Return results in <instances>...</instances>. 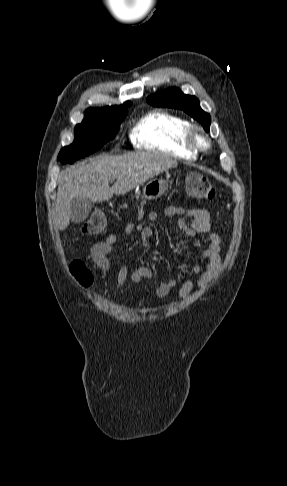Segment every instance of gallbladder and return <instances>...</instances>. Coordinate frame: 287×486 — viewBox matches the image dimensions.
Returning <instances> with one entry per match:
<instances>
[{
    "instance_id": "bac80fb5",
    "label": "gallbladder",
    "mask_w": 287,
    "mask_h": 486,
    "mask_svg": "<svg viewBox=\"0 0 287 486\" xmlns=\"http://www.w3.org/2000/svg\"><path fill=\"white\" fill-rule=\"evenodd\" d=\"M93 206L94 205L89 198H74L71 202V221L78 224L86 220Z\"/></svg>"
}]
</instances>
